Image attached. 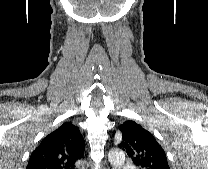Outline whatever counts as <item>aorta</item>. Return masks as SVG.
<instances>
[{
	"mask_svg": "<svg viewBox=\"0 0 208 169\" xmlns=\"http://www.w3.org/2000/svg\"><path fill=\"white\" fill-rule=\"evenodd\" d=\"M109 161L115 167H121L124 164L125 155L119 149H114L109 152Z\"/></svg>",
	"mask_w": 208,
	"mask_h": 169,
	"instance_id": "762f6f07",
	"label": "aorta"
}]
</instances>
